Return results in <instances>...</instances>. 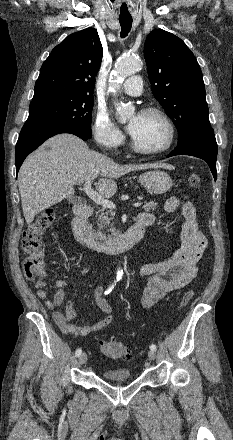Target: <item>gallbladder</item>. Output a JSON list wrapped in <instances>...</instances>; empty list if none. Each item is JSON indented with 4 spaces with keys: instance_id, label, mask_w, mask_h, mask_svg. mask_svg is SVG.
Wrapping results in <instances>:
<instances>
[{
    "instance_id": "obj_1",
    "label": "gallbladder",
    "mask_w": 233,
    "mask_h": 440,
    "mask_svg": "<svg viewBox=\"0 0 233 440\" xmlns=\"http://www.w3.org/2000/svg\"><path fill=\"white\" fill-rule=\"evenodd\" d=\"M69 202L70 203H76L77 202V198L76 197H71V198H69Z\"/></svg>"
}]
</instances>
